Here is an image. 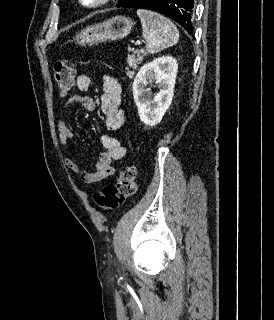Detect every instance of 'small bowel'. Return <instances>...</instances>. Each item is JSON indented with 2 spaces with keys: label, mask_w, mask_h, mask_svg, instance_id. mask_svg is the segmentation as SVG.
<instances>
[{
  "label": "small bowel",
  "mask_w": 274,
  "mask_h": 320,
  "mask_svg": "<svg viewBox=\"0 0 274 320\" xmlns=\"http://www.w3.org/2000/svg\"><path fill=\"white\" fill-rule=\"evenodd\" d=\"M91 84L92 78L90 75L80 74L78 76L77 87L79 90H87ZM75 104L82 105L87 111H93L96 108V103L91 96L83 93H73L66 99L62 112L66 113ZM100 108L108 130L115 131L124 125L125 114L121 108V87L118 81L110 75L104 77ZM57 129L60 142L62 145L68 146L70 141L73 140L74 134L64 118L58 121ZM100 141L105 151L99 155L98 163L93 172L82 169L67 156L64 158L67 169L86 184H95L113 175L115 172L113 161L122 159L127 155V149L121 145L117 138L105 134L100 137Z\"/></svg>",
  "instance_id": "1"
}]
</instances>
